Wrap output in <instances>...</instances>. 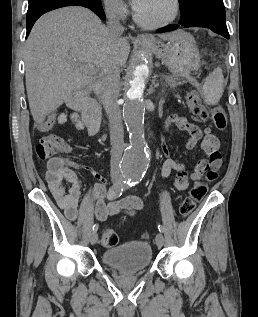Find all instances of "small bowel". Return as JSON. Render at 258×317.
<instances>
[{"label":"small bowel","instance_id":"small-bowel-1","mask_svg":"<svg viewBox=\"0 0 258 317\" xmlns=\"http://www.w3.org/2000/svg\"><path fill=\"white\" fill-rule=\"evenodd\" d=\"M79 129L86 131L88 135L97 134L101 113L98 105L92 100H84L77 112L70 116L65 114L47 117L38 125V130L46 132L50 130L55 123L65 124L68 120ZM174 124L179 129L189 133V139L186 143L187 149H193L200 141L201 147L206 154V158L201 159L189 172L185 165L171 158H166L162 166V176L167 178L172 171L177 173L173 187L177 190H185L189 186V181L198 182L203 173L209 169L220 168L222 156L220 152L219 139L212 133L211 128L201 130L193 124L187 117L179 114H173L165 122V129L168 130ZM164 152L167 148L163 146ZM96 177H100L98 171H93ZM46 180L48 187L60 208L64 210L66 217L70 220H76L79 215L81 202V191L76 173L68 166L67 162L60 157L51 158L47 164ZM64 183H68L66 188ZM106 185L97 183L94 185L90 197L85 205V211L92 214L97 220L104 221L110 216H116L120 213L135 215L143 207V200L139 196H128L120 200L106 203Z\"/></svg>","mask_w":258,"mask_h":317}]
</instances>
